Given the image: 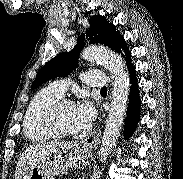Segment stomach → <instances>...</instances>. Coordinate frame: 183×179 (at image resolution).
I'll return each instance as SVG.
<instances>
[{
    "mask_svg": "<svg viewBox=\"0 0 183 179\" xmlns=\"http://www.w3.org/2000/svg\"><path fill=\"white\" fill-rule=\"evenodd\" d=\"M90 158L91 151L87 147L76 143H66L31 166L22 179H54L56 175L71 167L77 169L86 167Z\"/></svg>",
    "mask_w": 183,
    "mask_h": 179,
    "instance_id": "1",
    "label": "stomach"
}]
</instances>
